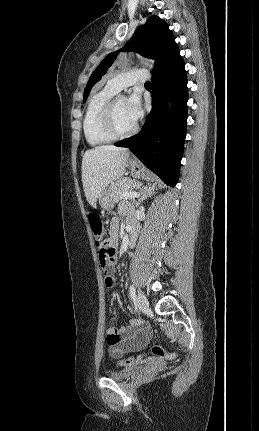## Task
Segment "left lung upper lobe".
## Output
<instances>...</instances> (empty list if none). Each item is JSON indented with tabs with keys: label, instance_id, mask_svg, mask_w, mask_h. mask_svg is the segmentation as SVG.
<instances>
[{
	"label": "left lung upper lobe",
	"instance_id": "1",
	"mask_svg": "<svg viewBox=\"0 0 259 431\" xmlns=\"http://www.w3.org/2000/svg\"><path fill=\"white\" fill-rule=\"evenodd\" d=\"M175 42V37L169 30V26L158 16H151L146 23L137 28L130 41L122 51H135L145 57L155 60V67L161 61L166 49ZM119 51L110 53L94 70L84 90L83 102L87 100L89 92L112 65Z\"/></svg>",
	"mask_w": 259,
	"mask_h": 431
}]
</instances>
